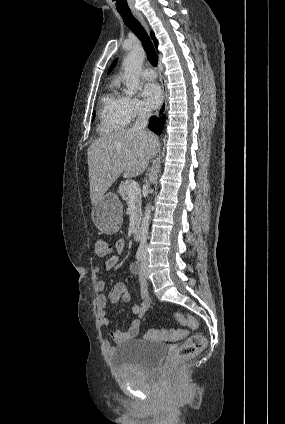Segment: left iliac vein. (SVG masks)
Masks as SVG:
<instances>
[{"mask_svg":"<svg viewBox=\"0 0 285 424\" xmlns=\"http://www.w3.org/2000/svg\"><path fill=\"white\" fill-rule=\"evenodd\" d=\"M147 264H148V254L145 252L144 257L141 262V274L144 278H148L147 276Z\"/></svg>","mask_w":285,"mask_h":424,"instance_id":"obj_1","label":"left iliac vein"}]
</instances>
